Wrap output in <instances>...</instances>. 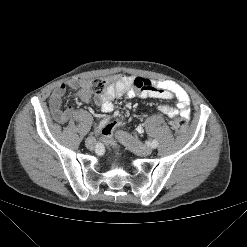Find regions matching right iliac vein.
Masks as SVG:
<instances>
[{
    "instance_id": "63e3f726",
    "label": "right iliac vein",
    "mask_w": 247,
    "mask_h": 247,
    "mask_svg": "<svg viewBox=\"0 0 247 247\" xmlns=\"http://www.w3.org/2000/svg\"><path fill=\"white\" fill-rule=\"evenodd\" d=\"M85 145L88 149H93L95 146V141L92 137L87 138Z\"/></svg>"
}]
</instances>
